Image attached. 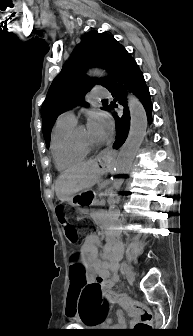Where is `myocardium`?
<instances>
[{
  "label": "myocardium",
  "mask_w": 193,
  "mask_h": 336,
  "mask_svg": "<svg viewBox=\"0 0 193 336\" xmlns=\"http://www.w3.org/2000/svg\"><path fill=\"white\" fill-rule=\"evenodd\" d=\"M75 142L77 143L78 146H80L81 148H83L84 150H86L88 152L93 151V150L98 148L97 144L85 143V142L79 141L76 138H75Z\"/></svg>",
  "instance_id": "myocardium-1"
}]
</instances>
